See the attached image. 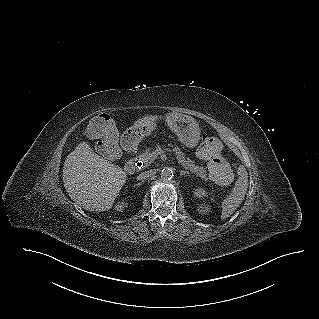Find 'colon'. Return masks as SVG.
I'll return each mask as SVG.
<instances>
[{
  "label": "colon",
  "instance_id": "5ec220e1",
  "mask_svg": "<svg viewBox=\"0 0 319 319\" xmlns=\"http://www.w3.org/2000/svg\"><path fill=\"white\" fill-rule=\"evenodd\" d=\"M87 136L97 139L106 149L105 155L108 160L120 159L123 151L115 148L119 144L121 135L116 130L112 119L108 114L96 116L87 129ZM202 157L208 162L211 177L219 184H227L232 179L231 171L221 156L222 144L215 136L203 139L200 147Z\"/></svg>",
  "mask_w": 319,
  "mask_h": 319
}]
</instances>
